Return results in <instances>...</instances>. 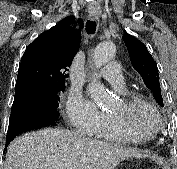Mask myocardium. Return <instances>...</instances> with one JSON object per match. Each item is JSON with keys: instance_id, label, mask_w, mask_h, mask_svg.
Listing matches in <instances>:
<instances>
[{"instance_id": "myocardium-1", "label": "myocardium", "mask_w": 177, "mask_h": 169, "mask_svg": "<svg viewBox=\"0 0 177 169\" xmlns=\"http://www.w3.org/2000/svg\"><path fill=\"white\" fill-rule=\"evenodd\" d=\"M120 103V110L110 114L129 140L137 141L144 138H152L162 129L163 118L160 112L142 94L138 92L122 94ZM140 109L149 111L156 119V125L149 130L137 129L134 114Z\"/></svg>"}]
</instances>
